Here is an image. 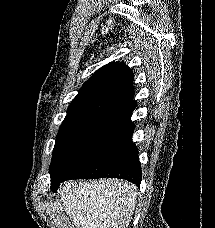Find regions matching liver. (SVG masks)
Segmentation results:
<instances>
[{
    "mask_svg": "<svg viewBox=\"0 0 215 228\" xmlns=\"http://www.w3.org/2000/svg\"><path fill=\"white\" fill-rule=\"evenodd\" d=\"M60 202L76 228H129L137 186L126 180H70L58 190Z\"/></svg>",
    "mask_w": 215,
    "mask_h": 228,
    "instance_id": "obj_1",
    "label": "liver"
}]
</instances>
